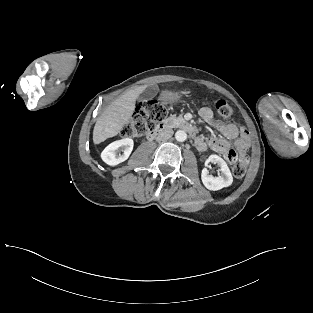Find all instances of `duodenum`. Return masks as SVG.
I'll use <instances>...</instances> for the list:
<instances>
[{
    "instance_id": "1",
    "label": "duodenum",
    "mask_w": 313,
    "mask_h": 313,
    "mask_svg": "<svg viewBox=\"0 0 313 313\" xmlns=\"http://www.w3.org/2000/svg\"><path fill=\"white\" fill-rule=\"evenodd\" d=\"M172 126H176L188 132L191 136L196 135L195 128L189 122L185 121L184 119L177 118V119H172L170 121L159 124L154 130L150 131L147 134V138L149 140H153L155 138L161 137Z\"/></svg>"
}]
</instances>
